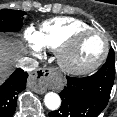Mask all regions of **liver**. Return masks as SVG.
Returning a JSON list of instances; mask_svg holds the SVG:
<instances>
[{
	"label": "liver",
	"mask_w": 117,
	"mask_h": 117,
	"mask_svg": "<svg viewBox=\"0 0 117 117\" xmlns=\"http://www.w3.org/2000/svg\"><path fill=\"white\" fill-rule=\"evenodd\" d=\"M24 48L17 42L0 39V83L10 73L11 67L22 58Z\"/></svg>",
	"instance_id": "liver-1"
}]
</instances>
